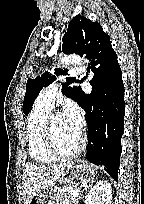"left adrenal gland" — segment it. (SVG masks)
I'll use <instances>...</instances> for the list:
<instances>
[{
	"label": "left adrenal gland",
	"mask_w": 144,
	"mask_h": 204,
	"mask_svg": "<svg viewBox=\"0 0 144 204\" xmlns=\"http://www.w3.org/2000/svg\"><path fill=\"white\" fill-rule=\"evenodd\" d=\"M93 183V182H92ZM81 197H83V192L80 194V196L78 197V200L81 199ZM78 203V202H77Z\"/></svg>",
	"instance_id": "1"
}]
</instances>
